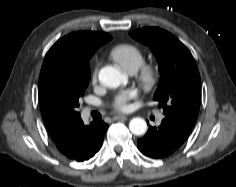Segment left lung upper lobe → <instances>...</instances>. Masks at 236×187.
Instances as JSON below:
<instances>
[{
  "mask_svg": "<svg viewBox=\"0 0 236 187\" xmlns=\"http://www.w3.org/2000/svg\"><path fill=\"white\" fill-rule=\"evenodd\" d=\"M130 36L149 46L158 62L161 77L153 99L166 118L192 129L199 113L201 81L188 48L170 32L156 27L132 31Z\"/></svg>",
  "mask_w": 236,
  "mask_h": 187,
  "instance_id": "left-lung-upper-lobe-1",
  "label": "left lung upper lobe"
}]
</instances>
